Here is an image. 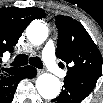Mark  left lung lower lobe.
Listing matches in <instances>:
<instances>
[{
  "instance_id": "0a47b994",
  "label": "left lung lower lobe",
  "mask_w": 103,
  "mask_h": 103,
  "mask_svg": "<svg viewBox=\"0 0 103 103\" xmlns=\"http://www.w3.org/2000/svg\"><path fill=\"white\" fill-rule=\"evenodd\" d=\"M97 79L70 77L64 78V89L52 103H81L96 85Z\"/></svg>"
}]
</instances>
